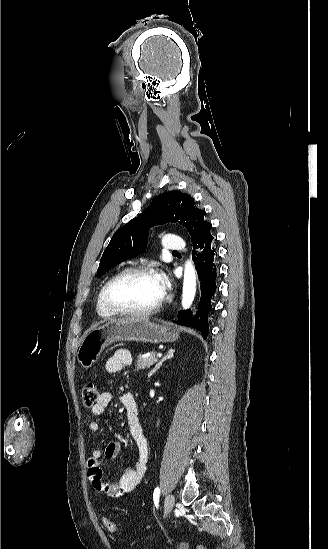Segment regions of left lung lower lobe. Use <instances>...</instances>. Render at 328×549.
Returning <instances> with one entry per match:
<instances>
[{
  "label": "left lung lower lobe",
  "mask_w": 328,
  "mask_h": 549,
  "mask_svg": "<svg viewBox=\"0 0 328 549\" xmlns=\"http://www.w3.org/2000/svg\"><path fill=\"white\" fill-rule=\"evenodd\" d=\"M214 238L212 235L200 240L193 245L197 251H192V258L196 265L197 273L201 281V299L198 305L197 313L192 316L190 310L180 311L177 324L198 328L203 338H206L209 332L208 314L211 306V299L216 291L217 268L215 259L217 253L213 247Z\"/></svg>",
  "instance_id": "0a47b994"
}]
</instances>
